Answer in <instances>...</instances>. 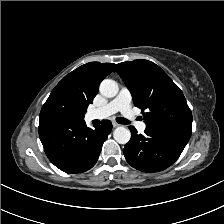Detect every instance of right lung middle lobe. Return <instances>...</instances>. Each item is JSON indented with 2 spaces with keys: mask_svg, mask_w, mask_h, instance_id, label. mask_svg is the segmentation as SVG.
Here are the masks:
<instances>
[{
  "mask_svg": "<svg viewBox=\"0 0 224 224\" xmlns=\"http://www.w3.org/2000/svg\"><path fill=\"white\" fill-rule=\"evenodd\" d=\"M87 106L73 95L55 88L43 105L40 115L52 114L71 120H84Z\"/></svg>",
  "mask_w": 224,
  "mask_h": 224,
  "instance_id": "right-lung-middle-lobe-1",
  "label": "right lung middle lobe"
}]
</instances>
